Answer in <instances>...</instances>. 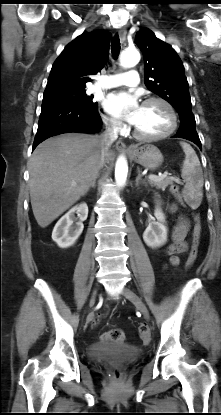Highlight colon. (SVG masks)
I'll return each instance as SVG.
<instances>
[{
  "label": "colon",
  "instance_id": "obj_1",
  "mask_svg": "<svg viewBox=\"0 0 221 415\" xmlns=\"http://www.w3.org/2000/svg\"><path fill=\"white\" fill-rule=\"evenodd\" d=\"M171 190H172V194L175 196V199H178V202L181 203L180 207L184 208L185 204L182 203L184 199V194L180 191V186L177 181L171 182ZM194 221H195V225H194V231H193L192 245H191L188 259L186 262L187 269H190L194 265L197 259L198 248H199L200 240H201L202 225H201V220L198 214H194ZM98 320H99V317L97 316L94 319V324H96ZM138 335L144 341H147L149 339L150 337L149 329L145 324H140L138 326ZM103 338L105 340L123 342L125 340V334L121 329L115 328V329L110 330L106 334H104ZM114 377L115 378L120 377L119 370H115Z\"/></svg>",
  "mask_w": 221,
  "mask_h": 415
}]
</instances>
